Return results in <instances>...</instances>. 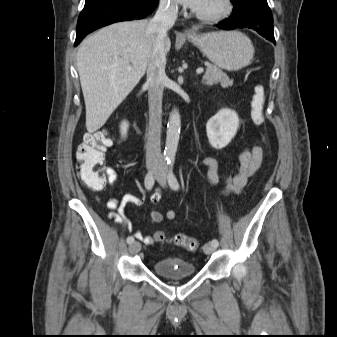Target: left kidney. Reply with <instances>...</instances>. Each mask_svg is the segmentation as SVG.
Wrapping results in <instances>:
<instances>
[{"label":"left kidney","instance_id":"1","mask_svg":"<svg viewBox=\"0 0 337 337\" xmlns=\"http://www.w3.org/2000/svg\"><path fill=\"white\" fill-rule=\"evenodd\" d=\"M239 117L230 109H222L206 124L209 143L216 149L227 146L237 133Z\"/></svg>","mask_w":337,"mask_h":337}]
</instances>
